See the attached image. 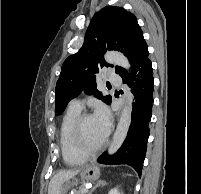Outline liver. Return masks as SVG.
<instances>
[{
  "mask_svg": "<svg viewBox=\"0 0 201 194\" xmlns=\"http://www.w3.org/2000/svg\"><path fill=\"white\" fill-rule=\"evenodd\" d=\"M81 170L82 169L59 171L53 176L49 183L48 194H59L63 183L75 177Z\"/></svg>",
  "mask_w": 201,
  "mask_h": 194,
  "instance_id": "obj_1",
  "label": "liver"
}]
</instances>
